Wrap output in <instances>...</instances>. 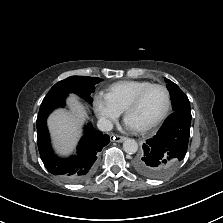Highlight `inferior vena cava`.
<instances>
[{
    "mask_svg": "<svg viewBox=\"0 0 223 223\" xmlns=\"http://www.w3.org/2000/svg\"><path fill=\"white\" fill-rule=\"evenodd\" d=\"M97 127L100 131L108 132L112 130L113 124L110 120L106 118H100L97 122Z\"/></svg>",
    "mask_w": 223,
    "mask_h": 223,
    "instance_id": "inferior-vena-cava-1",
    "label": "inferior vena cava"
}]
</instances>
